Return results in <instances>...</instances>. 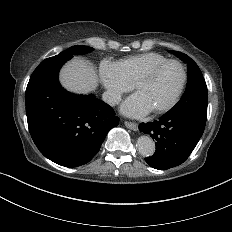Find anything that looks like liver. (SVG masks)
<instances>
[{
  "label": "liver",
  "instance_id": "liver-1",
  "mask_svg": "<svg viewBox=\"0 0 232 232\" xmlns=\"http://www.w3.org/2000/svg\"><path fill=\"white\" fill-rule=\"evenodd\" d=\"M60 81L67 90L86 94L97 88L98 76L90 63L75 58L62 68Z\"/></svg>",
  "mask_w": 232,
  "mask_h": 232
}]
</instances>
